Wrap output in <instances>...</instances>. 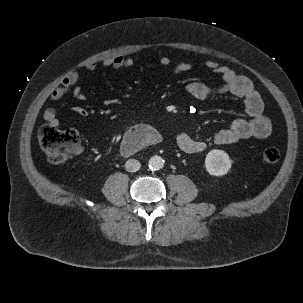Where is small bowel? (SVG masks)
<instances>
[{"mask_svg": "<svg viewBox=\"0 0 303 303\" xmlns=\"http://www.w3.org/2000/svg\"><path fill=\"white\" fill-rule=\"evenodd\" d=\"M159 63L164 67L171 68L169 74L172 76L182 74L192 68L190 62H174L166 55L159 58ZM133 65V58L125 56L109 57L103 61V66L114 69L131 68ZM204 66L208 70L218 73L222 78V83L212 86L198 81L191 82L186 85V92L197 100H206L224 95L240 98L244 101L247 114L246 118H237L227 128L217 132L213 137V143L217 145L234 144L249 138L263 139L268 137L272 131V124L264 114L263 100L255 89L253 82L248 77L238 75L231 68L213 60L206 61ZM85 68L92 72L96 69V64L88 63ZM79 79V72H69L60 81L59 85L50 92V99L60 100L69 91H72L77 100H86V94L78 85ZM71 110L82 118H86L89 114L88 110L82 106H73ZM44 119L54 127H58L60 124L57 110L53 107L44 111ZM175 140L177 146L186 153H198L208 146L206 141L197 139L185 132L178 133Z\"/></svg>", "mask_w": 303, "mask_h": 303, "instance_id": "c3829d8e", "label": "small bowel"}]
</instances>
